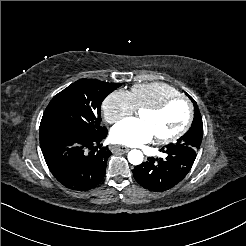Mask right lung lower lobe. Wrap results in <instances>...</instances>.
I'll use <instances>...</instances> for the list:
<instances>
[{
  "label": "right lung lower lobe",
  "instance_id": "1",
  "mask_svg": "<svg viewBox=\"0 0 246 246\" xmlns=\"http://www.w3.org/2000/svg\"><path fill=\"white\" fill-rule=\"evenodd\" d=\"M106 135L105 127L96 133L48 128L40 130V146L48 168L60 183L86 191L104 178L106 161L112 154L107 146L99 145Z\"/></svg>",
  "mask_w": 246,
  "mask_h": 246
}]
</instances>
